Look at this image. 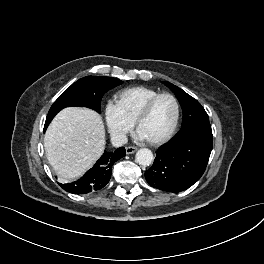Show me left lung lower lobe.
<instances>
[{"label":"left lung lower lobe","mask_w":264,"mask_h":264,"mask_svg":"<svg viewBox=\"0 0 264 264\" xmlns=\"http://www.w3.org/2000/svg\"><path fill=\"white\" fill-rule=\"evenodd\" d=\"M210 124L176 134L159 147L154 164L145 172L147 182L160 190L180 192L203 175L212 151Z\"/></svg>","instance_id":"obj_1"}]
</instances>
